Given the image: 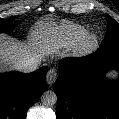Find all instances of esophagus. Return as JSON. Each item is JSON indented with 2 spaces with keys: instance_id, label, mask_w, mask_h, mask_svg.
I'll return each instance as SVG.
<instances>
[{
  "instance_id": "1",
  "label": "esophagus",
  "mask_w": 119,
  "mask_h": 119,
  "mask_svg": "<svg viewBox=\"0 0 119 119\" xmlns=\"http://www.w3.org/2000/svg\"><path fill=\"white\" fill-rule=\"evenodd\" d=\"M57 79V72L54 69H50L47 73L46 80L49 85H52Z\"/></svg>"
}]
</instances>
